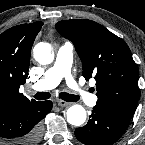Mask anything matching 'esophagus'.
<instances>
[{"instance_id": "obj_1", "label": "esophagus", "mask_w": 145, "mask_h": 145, "mask_svg": "<svg viewBox=\"0 0 145 145\" xmlns=\"http://www.w3.org/2000/svg\"><path fill=\"white\" fill-rule=\"evenodd\" d=\"M57 104L61 107L69 106L70 103L64 100H57Z\"/></svg>"}]
</instances>
